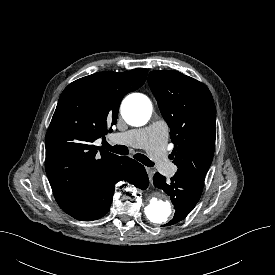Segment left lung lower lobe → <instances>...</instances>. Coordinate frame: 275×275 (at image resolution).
Wrapping results in <instances>:
<instances>
[{
	"mask_svg": "<svg viewBox=\"0 0 275 275\" xmlns=\"http://www.w3.org/2000/svg\"><path fill=\"white\" fill-rule=\"evenodd\" d=\"M153 181L156 187L170 196L175 206L174 218L166 225H172L183 220L193 210L201 196L204 185V181L178 173H175L170 180H166L157 172Z\"/></svg>",
	"mask_w": 275,
	"mask_h": 275,
	"instance_id": "0a47b994",
	"label": "left lung lower lobe"
}]
</instances>
